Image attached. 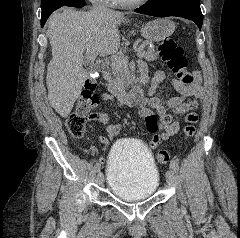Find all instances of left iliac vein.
Wrapping results in <instances>:
<instances>
[{"label":"left iliac vein","instance_id":"1","mask_svg":"<svg viewBox=\"0 0 240 238\" xmlns=\"http://www.w3.org/2000/svg\"><path fill=\"white\" fill-rule=\"evenodd\" d=\"M166 181L168 185H173L175 183V172L172 169H169L166 172Z\"/></svg>","mask_w":240,"mask_h":238}]
</instances>
